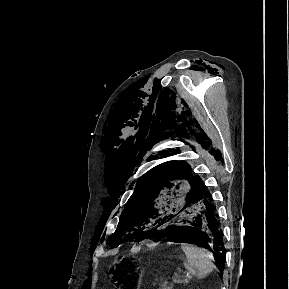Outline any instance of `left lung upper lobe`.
<instances>
[{"label":"left lung upper lobe","mask_w":289,"mask_h":289,"mask_svg":"<svg viewBox=\"0 0 289 289\" xmlns=\"http://www.w3.org/2000/svg\"><path fill=\"white\" fill-rule=\"evenodd\" d=\"M204 184L190 173L185 162H168L148 171L137 182L128 200L116 231L108 238L115 248L124 242H139L164 225L172 203L190 185Z\"/></svg>","instance_id":"5c2ea615"}]
</instances>
